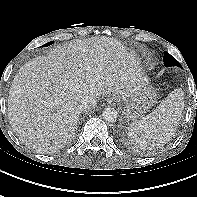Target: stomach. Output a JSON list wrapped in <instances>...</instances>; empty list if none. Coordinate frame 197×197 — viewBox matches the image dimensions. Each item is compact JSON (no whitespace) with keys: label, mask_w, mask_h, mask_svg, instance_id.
Masks as SVG:
<instances>
[{"label":"stomach","mask_w":197,"mask_h":197,"mask_svg":"<svg viewBox=\"0 0 197 197\" xmlns=\"http://www.w3.org/2000/svg\"><path fill=\"white\" fill-rule=\"evenodd\" d=\"M122 113L127 122L142 118L156 103V90L145 83L128 97L122 98Z\"/></svg>","instance_id":"0dacf381"}]
</instances>
